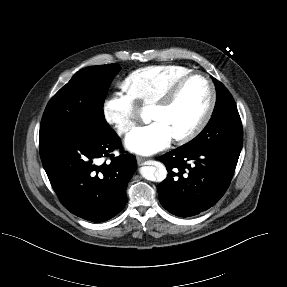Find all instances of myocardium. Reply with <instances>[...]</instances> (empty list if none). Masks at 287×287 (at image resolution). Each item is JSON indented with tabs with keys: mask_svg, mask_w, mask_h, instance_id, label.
<instances>
[{
	"mask_svg": "<svg viewBox=\"0 0 287 287\" xmlns=\"http://www.w3.org/2000/svg\"><path fill=\"white\" fill-rule=\"evenodd\" d=\"M195 77H200L207 83L208 88H209V92H210L209 103H208V106H207L203 116L201 117V119L198 121V123L192 129H190L188 132H186L182 135L173 137L174 141L177 143H187V142L191 141L196 136H198L204 130V128L207 126V124L209 123V121L213 115V112H214V109L216 106V102H217V92H216V88H215L213 81L204 73L190 72V73L182 76L181 78H179L165 92V94L162 97H160L155 103H153V107H156V108H167V107H169L170 105L173 104V102L177 98V96H178L179 92L181 91V89L183 88V86L190 79L195 78Z\"/></svg>",
	"mask_w": 287,
	"mask_h": 287,
	"instance_id": "obj_1",
	"label": "myocardium"
}]
</instances>
